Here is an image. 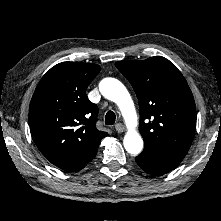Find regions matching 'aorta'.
Returning a JSON list of instances; mask_svg holds the SVG:
<instances>
[{"instance_id":"762f6f07","label":"aorta","mask_w":221,"mask_h":221,"mask_svg":"<svg viewBox=\"0 0 221 221\" xmlns=\"http://www.w3.org/2000/svg\"><path fill=\"white\" fill-rule=\"evenodd\" d=\"M101 94L116 103L129 128L124 136L123 144L130 154H139L143 149V139L134 129L137 124V114L133 100L126 87L115 78H105L99 84Z\"/></svg>"}]
</instances>
